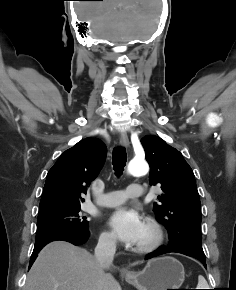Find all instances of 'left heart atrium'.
Listing matches in <instances>:
<instances>
[{
  "label": "left heart atrium",
  "mask_w": 236,
  "mask_h": 290,
  "mask_svg": "<svg viewBox=\"0 0 236 290\" xmlns=\"http://www.w3.org/2000/svg\"><path fill=\"white\" fill-rule=\"evenodd\" d=\"M108 224L121 241L136 244L144 230L139 214L127 208H118L109 217Z\"/></svg>",
  "instance_id": "obj_1"
}]
</instances>
